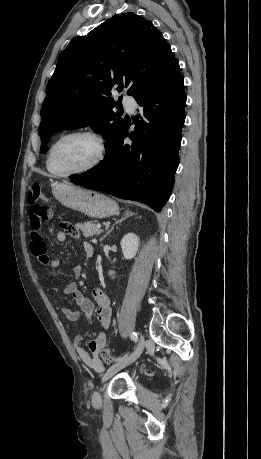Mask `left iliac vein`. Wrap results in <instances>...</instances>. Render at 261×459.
Wrapping results in <instances>:
<instances>
[{"mask_svg":"<svg viewBox=\"0 0 261 459\" xmlns=\"http://www.w3.org/2000/svg\"><path fill=\"white\" fill-rule=\"evenodd\" d=\"M145 344L146 342H145L144 336L141 334L139 338V342L136 348L134 349V351L130 353L129 355L124 356L122 359L118 360V362H116L111 367H109L102 377V382H105L110 377H112L114 374H116L118 371H120L121 369L125 368L126 366L136 361L142 354ZM92 402L95 407L101 406L102 400L98 392L94 393Z\"/></svg>","mask_w":261,"mask_h":459,"instance_id":"4c4485c4","label":"left iliac vein"}]
</instances>
